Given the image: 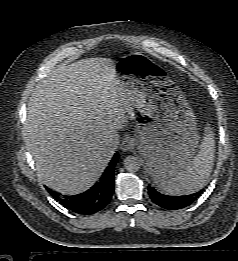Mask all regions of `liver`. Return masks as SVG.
I'll return each instance as SVG.
<instances>
[{
    "instance_id": "1",
    "label": "liver",
    "mask_w": 238,
    "mask_h": 261,
    "mask_svg": "<svg viewBox=\"0 0 238 261\" xmlns=\"http://www.w3.org/2000/svg\"><path fill=\"white\" fill-rule=\"evenodd\" d=\"M114 65L108 58L82 59L58 66L36 85L23 135L49 188L82 193L108 166L107 143L118 147L128 117Z\"/></svg>"
}]
</instances>
